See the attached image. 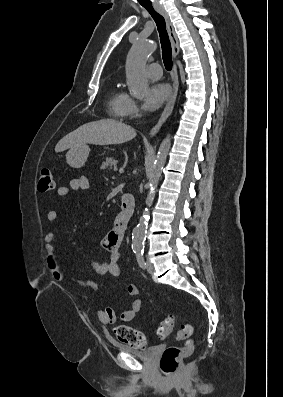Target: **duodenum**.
Instances as JSON below:
<instances>
[{
  "label": "duodenum",
  "mask_w": 283,
  "mask_h": 397,
  "mask_svg": "<svg viewBox=\"0 0 283 397\" xmlns=\"http://www.w3.org/2000/svg\"><path fill=\"white\" fill-rule=\"evenodd\" d=\"M135 209V199L132 194H124L121 197V210L117 215L114 227L120 233H124L129 226Z\"/></svg>",
  "instance_id": "1"
}]
</instances>
